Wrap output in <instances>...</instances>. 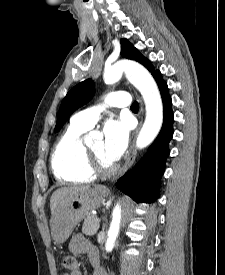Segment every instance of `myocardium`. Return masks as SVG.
<instances>
[{"label": "myocardium", "mask_w": 225, "mask_h": 275, "mask_svg": "<svg viewBox=\"0 0 225 275\" xmlns=\"http://www.w3.org/2000/svg\"><path fill=\"white\" fill-rule=\"evenodd\" d=\"M84 150L87 156V167L94 175H110L114 173L117 169L115 164L106 166L99 158L89 149V147L84 146Z\"/></svg>", "instance_id": "1"}]
</instances>
